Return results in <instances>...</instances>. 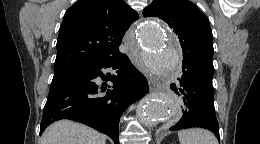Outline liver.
<instances>
[{"label": "liver", "mask_w": 260, "mask_h": 144, "mask_svg": "<svg viewBox=\"0 0 260 144\" xmlns=\"http://www.w3.org/2000/svg\"><path fill=\"white\" fill-rule=\"evenodd\" d=\"M106 137L94 129L69 120L51 124L43 133L40 144H105Z\"/></svg>", "instance_id": "6515ba94"}]
</instances>
